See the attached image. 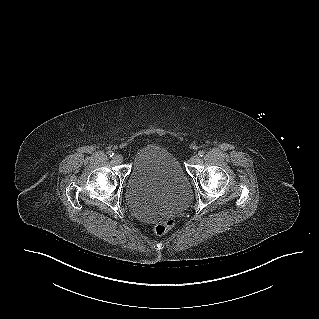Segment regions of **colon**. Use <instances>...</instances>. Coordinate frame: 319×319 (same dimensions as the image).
Segmentation results:
<instances>
[{"mask_svg": "<svg viewBox=\"0 0 319 319\" xmlns=\"http://www.w3.org/2000/svg\"><path fill=\"white\" fill-rule=\"evenodd\" d=\"M174 224H175L174 218H168L156 224L153 228V232L156 235H164L174 226Z\"/></svg>", "mask_w": 319, "mask_h": 319, "instance_id": "1", "label": "colon"}]
</instances>
